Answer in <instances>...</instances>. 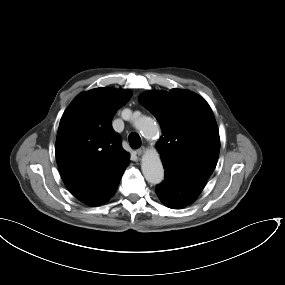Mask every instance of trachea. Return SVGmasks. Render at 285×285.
I'll use <instances>...</instances> for the list:
<instances>
[{
  "label": "trachea",
  "mask_w": 285,
  "mask_h": 285,
  "mask_svg": "<svg viewBox=\"0 0 285 285\" xmlns=\"http://www.w3.org/2000/svg\"><path fill=\"white\" fill-rule=\"evenodd\" d=\"M128 141H129V145L134 148L137 149L141 146V138L137 133H131L128 136Z\"/></svg>",
  "instance_id": "obj_1"
}]
</instances>
